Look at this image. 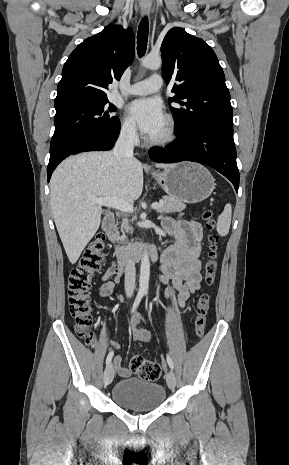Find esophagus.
<instances>
[{"label":"esophagus","instance_id":"esophagus-1","mask_svg":"<svg viewBox=\"0 0 289 465\" xmlns=\"http://www.w3.org/2000/svg\"><path fill=\"white\" fill-rule=\"evenodd\" d=\"M141 14H142V16H148L150 14V9L142 8L141 9Z\"/></svg>","mask_w":289,"mask_h":465}]
</instances>
